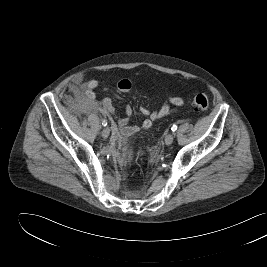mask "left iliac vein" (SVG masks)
<instances>
[{"label": "left iliac vein", "instance_id": "obj_1", "mask_svg": "<svg viewBox=\"0 0 267 267\" xmlns=\"http://www.w3.org/2000/svg\"><path fill=\"white\" fill-rule=\"evenodd\" d=\"M173 140H174V134L173 133H169L165 136V144L166 145H171Z\"/></svg>", "mask_w": 267, "mask_h": 267}]
</instances>
